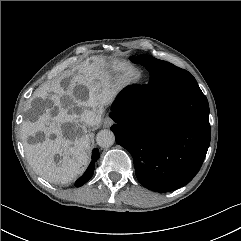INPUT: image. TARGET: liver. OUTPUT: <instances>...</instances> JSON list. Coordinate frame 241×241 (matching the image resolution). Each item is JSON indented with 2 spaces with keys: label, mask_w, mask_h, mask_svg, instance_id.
Segmentation results:
<instances>
[{
  "label": "liver",
  "mask_w": 241,
  "mask_h": 241,
  "mask_svg": "<svg viewBox=\"0 0 241 241\" xmlns=\"http://www.w3.org/2000/svg\"><path fill=\"white\" fill-rule=\"evenodd\" d=\"M104 59L94 58L71 72L65 86L63 78L53 81L38 97L43 101L36 109L37 118L22 123L21 133L26 157L33 169L51 183L66 184L81 174L88 165L90 139L81 113L76 108L91 109L96 118L91 126L98 125L101 114L115 95L114 86L104 71ZM85 87L87 94L78 95V88ZM51 92V94H49ZM35 97V98H38ZM32 108V106H31ZM43 132V141L29 144L28 138ZM54 136V139L51 136ZM55 155L62 159L55 162Z\"/></svg>",
  "instance_id": "liver-1"
}]
</instances>
